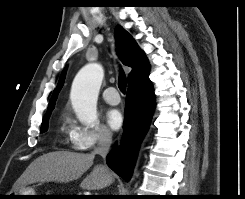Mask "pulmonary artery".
Masks as SVG:
<instances>
[{
  "mask_svg": "<svg viewBox=\"0 0 245 199\" xmlns=\"http://www.w3.org/2000/svg\"><path fill=\"white\" fill-rule=\"evenodd\" d=\"M103 99L111 105L120 103V96L114 87H108L102 92Z\"/></svg>",
  "mask_w": 245,
  "mask_h": 199,
  "instance_id": "pulmonary-artery-1",
  "label": "pulmonary artery"
}]
</instances>
